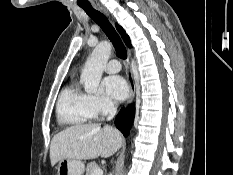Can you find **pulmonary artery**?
Masks as SVG:
<instances>
[{
	"mask_svg": "<svg viewBox=\"0 0 233 175\" xmlns=\"http://www.w3.org/2000/svg\"><path fill=\"white\" fill-rule=\"evenodd\" d=\"M120 69H121V64L116 59H111L105 67V71L107 73H117L120 71Z\"/></svg>",
	"mask_w": 233,
	"mask_h": 175,
	"instance_id": "pulmonary-artery-1",
	"label": "pulmonary artery"
}]
</instances>
